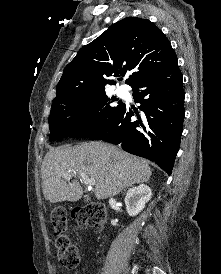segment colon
I'll return each instance as SVG.
<instances>
[{"label": "colon", "mask_w": 221, "mask_h": 274, "mask_svg": "<svg viewBox=\"0 0 221 274\" xmlns=\"http://www.w3.org/2000/svg\"><path fill=\"white\" fill-rule=\"evenodd\" d=\"M71 214L77 224L83 228H101L106 219L105 208L99 203L75 208ZM50 221L56 235L55 245L60 264L67 269H75L79 265L81 257L79 249L70 243L66 234V209L63 206H56L51 212Z\"/></svg>", "instance_id": "obj_1"}]
</instances>
